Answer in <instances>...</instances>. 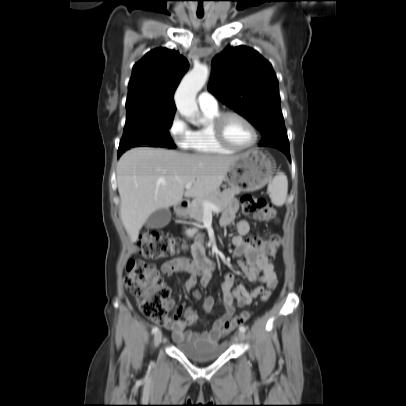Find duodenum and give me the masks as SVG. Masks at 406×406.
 <instances>
[{
  "instance_id": "obj_1",
  "label": "duodenum",
  "mask_w": 406,
  "mask_h": 406,
  "mask_svg": "<svg viewBox=\"0 0 406 406\" xmlns=\"http://www.w3.org/2000/svg\"><path fill=\"white\" fill-rule=\"evenodd\" d=\"M190 207V202L188 200H180L176 203L175 209L178 213L186 211Z\"/></svg>"
}]
</instances>
